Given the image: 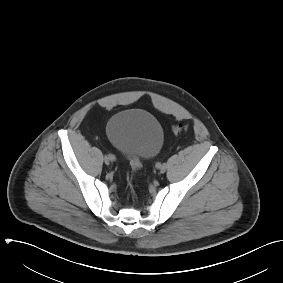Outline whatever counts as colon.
I'll return each instance as SVG.
<instances>
[{
  "mask_svg": "<svg viewBox=\"0 0 283 283\" xmlns=\"http://www.w3.org/2000/svg\"><path fill=\"white\" fill-rule=\"evenodd\" d=\"M187 129V126L186 125H183V124H178V125H175L172 130L175 134H179V133H182L183 131H185ZM129 161H130V165L132 167V169L135 171V172H139L140 169H141V162L139 160V158L137 157H129Z\"/></svg>",
  "mask_w": 283,
  "mask_h": 283,
  "instance_id": "obj_1",
  "label": "colon"
}]
</instances>
